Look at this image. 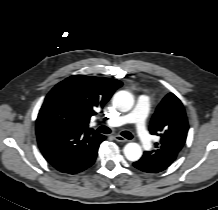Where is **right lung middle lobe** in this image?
I'll use <instances>...</instances> for the list:
<instances>
[{
	"mask_svg": "<svg viewBox=\"0 0 218 210\" xmlns=\"http://www.w3.org/2000/svg\"><path fill=\"white\" fill-rule=\"evenodd\" d=\"M36 125H56L67 129H77L70 107L62 99L48 95L39 111Z\"/></svg>",
	"mask_w": 218,
	"mask_h": 210,
	"instance_id": "obj_1",
	"label": "right lung middle lobe"
}]
</instances>
